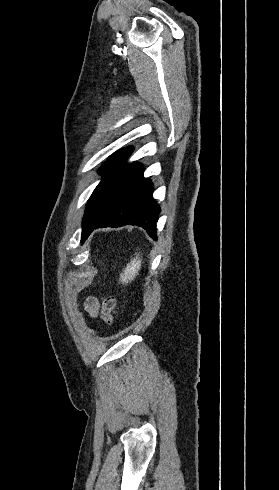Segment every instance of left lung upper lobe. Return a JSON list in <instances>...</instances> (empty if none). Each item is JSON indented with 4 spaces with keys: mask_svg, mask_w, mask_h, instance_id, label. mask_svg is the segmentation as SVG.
<instances>
[{
    "mask_svg": "<svg viewBox=\"0 0 279 490\" xmlns=\"http://www.w3.org/2000/svg\"><path fill=\"white\" fill-rule=\"evenodd\" d=\"M132 151V147H127L115 152L99 169V174H104V177L87 202L82 223V243L86 240L87 230L112 210L118 193L139 165L125 164Z\"/></svg>",
    "mask_w": 279,
    "mask_h": 490,
    "instance_id": "left-lung-upper-lobe-1",
    "label": "left lung upper lobe"
}]
</instances>
